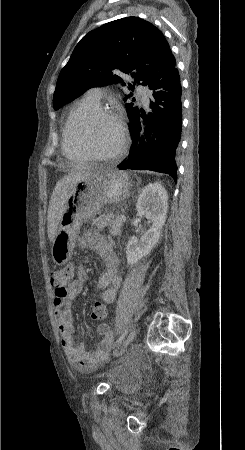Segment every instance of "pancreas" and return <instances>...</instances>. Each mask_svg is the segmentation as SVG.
Listing matches in <instances>:
<instances>
[{"instance_id": "pancreas-1", "label": "pancreas", "mask_w": 245, "mask_h": 450, "mask_svg": "<svg viewBox=\"0 0 245 450\" xmlns=\"http://www.w3.org/2000/svg\"><path fill=\"white\" fill-rule=\"evenodd\" d=\"M92 226L100 230L108 227L110 234L117 236L121 233L122 222L115 219L114 215H100L92 219Z\"/></svg>"}]
</instances>
